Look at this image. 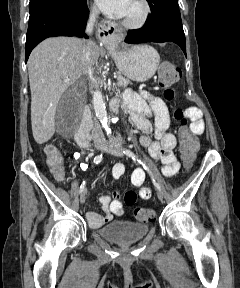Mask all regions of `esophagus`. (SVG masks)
<instances>
[{
	"label": "esophagus",
	"instance_id": "obj_1",
	"mask_svg": "<svg viewBox=\"0 0 240 288\" xmlns=\"http://www.w3.org/2000/svg\"><path fill=\"white\" fill-rule=\"evenodd\" d=\"M115 32H117V29L116 24L113 22L106 21L98 25V37L100 41L106 46L114 44Z\"/></svg>",
	"mask_w": 240,
	"mask_h": 288
}]
</instances>
